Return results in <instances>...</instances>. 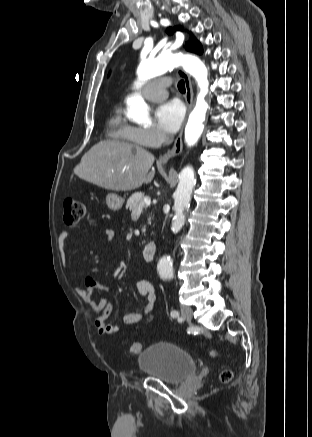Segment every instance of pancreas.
Segmentation results:
<instances>
[{
	"instance_id": "pancreas-1",
	"label": "pancreas",
	"mask_w": 312,
	"mask_h": 437,
	"mask_svg": "<svg viewBox=\"0 0 312 437\" xmlns=\"http://www.w3.org/2000/svg\"><path fill=\"white\" fill-rule=\"evenodd\" d=\"M139 207L141 208H146L147 205L144 204V194L141 192H137L132 194V196H130V198L127 200L126 203V208H129L130 211H134L136 209H138ZM149 220V224L150 222V218ZM142 232L145 233V228L142 229Z\"/></svg>"
}]
</instances>
